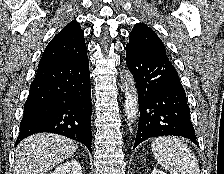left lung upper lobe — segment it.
I'll use <instances>...</instances> for the list:
<instances>
[{"instance_id":"1","label":"left lung upper lobe","mask_w":224,"mask_h":174,"mask_svg":"<svg viewBox=\"0 0 224 174\" xmlns=\"http://www.w3.org/2000/svg\"><path fill=\"white\" fill-rule=\"evenodd\" d=\"M126 47L145 52H166L161 39L152 29L142 23L134 26L130 32V40Z\"/></svg>"}]
</instances>
